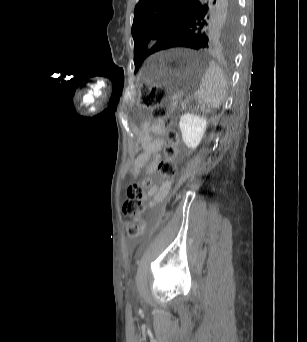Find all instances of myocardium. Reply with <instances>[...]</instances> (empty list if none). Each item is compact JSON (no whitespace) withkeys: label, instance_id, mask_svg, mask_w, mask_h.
I'll return each instance as SVG.
<instances>
[{"label":"myocardium","instance_id":"myocardium-1","mask_svg":"<svg viewBox=\"0 0 307 342\" xmlns=\"http://www.w3.org/2000/svg\"><path fill=\"white\" fill-rule=\"evenodd\" d=\"M154 45H161L163 43V37L162 35H159L155 40H154Z\"/></svg>","mask_w":307,"mask_h":342}]
</instances>
